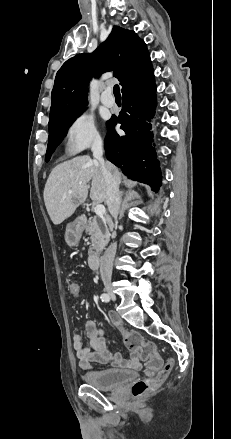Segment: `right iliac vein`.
Masks as SVG:
<instances>
[{
  "instance_id": "obj_1",
  "label": "right iliac vein",
  "mask_w": 231,
  "mask_h": 439,
  "mask_svg": "<svg viewBox=\"0 0 231 439\" xmlns=\"http://www.w3.org/2000/svg\"><path fill=\"white\" fill-rule=\"evenodd\" d=\"M105 290H106L107 294L109 295V297H111L112 299H115L116 296L114 294L113 287L110 284H107L105 286Z\"/></svg>"
}]
</instances>
